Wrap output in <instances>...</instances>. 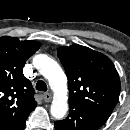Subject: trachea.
Returning a JSON list of instances; mask_svg holds the SVG:
<instances>
[{"mask_svg":"<svg viewBox=\"0 0 130 130\" xmlns=\"http://www.w3.org/2000/svg\"><path fill=\"white\" fill-rule=\"evenodd\" d=\"M36 89L38 91H47V85L44 81L42 80H39L37 83H36Z\"/></svg>","mask_w":130,"mask_h":130,"instance_id":"1","label":"trachea"}]
</instances>
